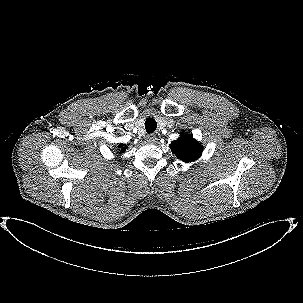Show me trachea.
Returning <instances> with one entry per match:
<instances>
[{
  "label": "trachea",
  "instance_id": "1",
  "mask_svg": "<svg viewBox=\"0 0 303 303\" xmlns=\"http://www.w3.org/2000/svg\"><path fill=\"white\" fill-rule=\"evenodd\" d=\"M157 128V123L153 118H148L145 121V129L147 133H153Z\"/></svg>",
  "mask_w": 303,
  "mask_h": 303
}]
</instances>
